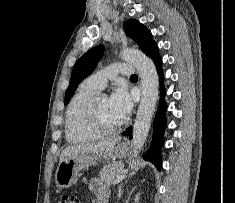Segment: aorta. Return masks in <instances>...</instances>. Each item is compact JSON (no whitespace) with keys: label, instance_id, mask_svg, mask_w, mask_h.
Listing matches in <instances>:
<instances>
[{"label":"aorta","instance_id":"aorta-1","mask_svg":"<svg viewBox=\"0 0 235 203\" xmlns=\"http://www.w3.org/2000/svg\"><path fill=\"white\" fill-rule=\"evenodd\" d=\"M121 57L137 69L141 79V101L133 125L132 139L136 156L143 148L148 136L158 100L159 80L155 64L141 51L125 49Z\"/></svg>","mask_w":235,"mask_h":203}]
</instances>
